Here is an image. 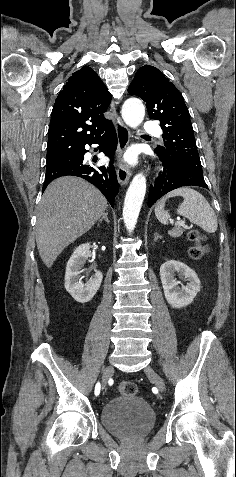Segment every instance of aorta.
I'll return each instance as SVG.
<instances>
[{"instance_id":"aorta-1","label":"aorta","mask_w":236,"mask_h":477,"mask_svg":"<svg viewBox=\"0 0 236 477\" xmlns=\"http://www.w3.org/2000/svg\"><path fill=\"white\" fill-rule=\"evenodd\" d=\"M122 118L131 128H137L144 119L145 107L137 98L127 99L122 106ZM146 193V177L139 173L132 179L126 192L123 220L127 230L131 233L137 223L140 209Z\"/></svg>"}]
</instances>
